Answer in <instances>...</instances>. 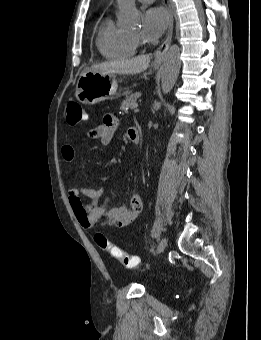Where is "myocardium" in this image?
Here are the masks:
<instances>
[{
	"label": "myocardium",
	"mask_w": 261,
	"mask_h": 340,
	"mask_svg": "<svg viewBox=\"0 0 261 340\" xmlns=\"http://www.w3.org/2000/svg\"><path fill=\"white\" fill-rule=\"evenodd\" d=\"M133 40L135 41V43L138 45L140 44V39L138 36H132Z\"/></svg>",
	"instance_id": "1"
}]
</instances>
